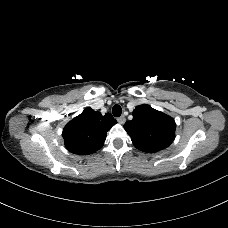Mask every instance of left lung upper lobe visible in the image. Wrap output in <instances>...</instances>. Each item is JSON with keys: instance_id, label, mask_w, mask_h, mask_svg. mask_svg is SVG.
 Instances as JSON below:
<instances>
[{"instance_id": "5c2ea615", "label": "left lung upper lobe", "mask_w": 228, "mask_h": 228, "mask_svg": "<svg viewBox=\"0 0 228 228\" xmlns=\"http://www.w3.org/2000/svg\"><path fill=\"white\" fill-rule=\"evenodd\" d=\"M132 114L133 119L125 123L124 129L139 150L158 152L174 141L176 124L172 117L147 104L137 106Z\"/></svg>"}]
</instances>
